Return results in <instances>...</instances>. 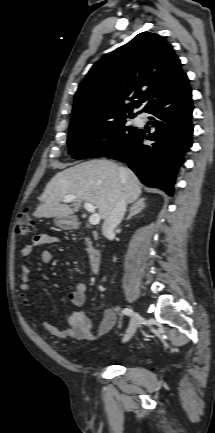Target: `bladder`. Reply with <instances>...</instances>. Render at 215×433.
<instances>
[{
	"label": "bladder",
	"instance_id": "obj_1",
	"mask_svg": "<svg viewBox=\"0 0 215 433\" xmlns=\"http://www.w3.org/2000/svg\"><path fill=\"white\" fill-rule=\"evenodd\" d=\"M103 357H105V358H109V356H108L107 354H104ZM122 358H123L124 360H129V359H130L129 356H123Z\"/></svg>",
	"mask_w": 215,
	"mask_h": 433
}]
</instances>
